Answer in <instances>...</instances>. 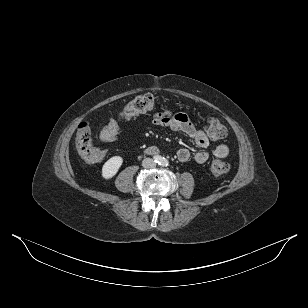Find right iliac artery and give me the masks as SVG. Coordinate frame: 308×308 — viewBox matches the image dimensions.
Wrapping results in <instances>:
<instances>
[{
  "label": "right iliac artery",
  "instance_id": "82829eb1",
  "mask_svg": "<svg viewBox=\"0 0 308 308\" xmlns=\"http://www.w3.org/2000/svg\"><path fill=\"white\" fill-rule=\"evenodd\" d=\"M153 159H154L155 162H158V163L161 161L160 156H154Z\"/></svg>",
  "mask_w": 308,
  "mask_h": 308
}]
</instances>
